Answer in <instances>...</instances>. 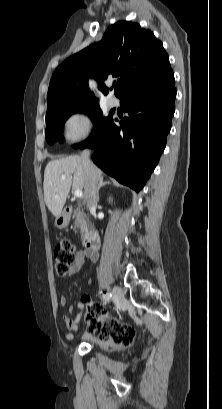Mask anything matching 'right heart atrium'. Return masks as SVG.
Returning a JSON list of instances; mask_svg holds the SVG:
<instances>
[{"label":"right heart atrium","mask_w":222,"mask_h":409,"mask_svg":"<svg viewBox=\"0 0 222 409\" xmlns=\"http://www.w3.org/2000/svg\"><path fill=\"white\" fill-rule=\"evenodd\" d=\"M92 116L85 111L72 113L64 123V135L70 142L87 139L93 132Z\"/></svg>","instance_id":"1"}]
</instances>
